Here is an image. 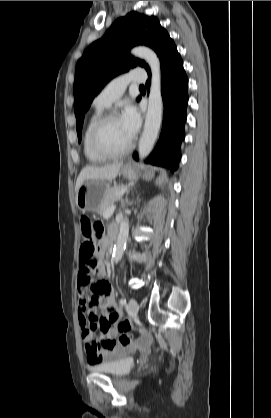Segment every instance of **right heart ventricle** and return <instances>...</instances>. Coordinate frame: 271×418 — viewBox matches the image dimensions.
<instances>
[{"mask_svg": "<svg viewBox=\"0 0 271 418\" xmlns=\"http://www.w3.org/2000/svg\"><path fill=\"white\" fill-rule=\"evenodd\" d=\"M103 112V108H99L96 107L94 109V111L92 112V114L90 115L85 128H84V132H83V152L84 155L86 157V159L94 164H98V163H102L104 162L107 158L97 154L90 143V134H91V130L94 126V124L96 123V121L100 118V116L102 115Z\"/></svg>", "mask_w": 271, "mask_h": 418, "instance_id": "obj_1", "label": "right heart ventricle"}]
</instances>
